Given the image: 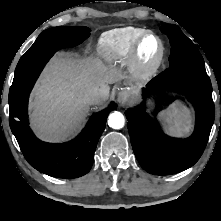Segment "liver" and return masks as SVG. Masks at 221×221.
Returning a JSON list of instances; mask_svg holds the SVG:
<instances>
[{
  "label": "liver",
  "mask_w": 221,
  "mask_h": 221,
  "mask_svg": "<svg viewBox=\"0 0 221 221\" xmlns=\"http://www.w3.org/2000/svg\"><path fill=\"white\" fill-rule=\"evenodd\" d=\"M125 76L100 59L57 56L45 67L32 92L31 126L45 141L60 142L73 134L89 111L86 93L103 90L99 103L109 96V84Z\"/></svg>",
  "instance_id": "liver-1"
}]
</instances>
